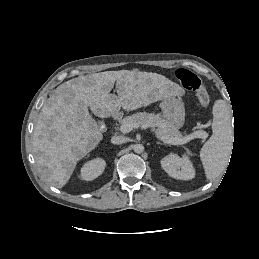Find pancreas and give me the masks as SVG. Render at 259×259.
Instances as JSON below:
<instances>
[{"instance_id": "obj_1", "label": "pancreas", "mask_w": 259, "mask_h": 259, "mask_svg": "<svg viewBox=\"0 0 259 259\" xmlns=\"http://www.w3.org/2000/svg\"><path fill=\"white\" fill-rule=\"evenodd\" d=\"M133 123L136 125L135 128H157V136H167L170 138H183L177 127L163 119L158 114H152L147 112H139L131 116H127L120 120V124ZM203 130L196 131L202 132Z\"/></svg>"}]
</instances>
